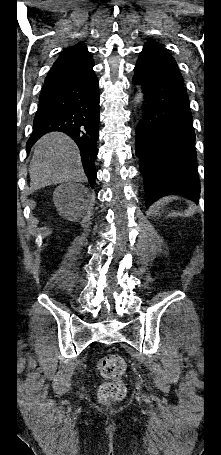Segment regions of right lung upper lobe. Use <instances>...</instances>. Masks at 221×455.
Instances as JSON below:
<instances>
[{"label":"right lung upper lobe","instance_id":"right-lung-upper-lobe-1","mask_svg":"<svg viewBox=\"0 0 221 455\" xmlns=\"http://www.w3.org/2000/svg\"><path fill=\"white\" fill-rule=\"evenodd\" d=\"M84 49H86V46L83 43H78V44L64 50L59 58L63 57L64 55H66L68 53H71L73 51L84 50Z\"/></svg>","mask_w":221,"mask_h":455}]
</instances>
